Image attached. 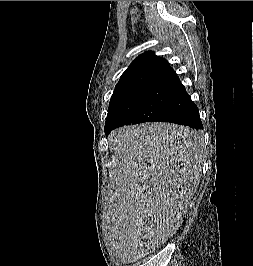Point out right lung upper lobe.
<instances>
[{
	"instance_id": "cb5924a9",
	"label": "right lung upper lobe",
	"mask_w": 253,
	"mask_h": 266,
	"mask_svg": "<svg viewBox=\"0 0 253 266\" xmlns=\"http://www.w3.org/2000/svg\"><path fill=\"white\" fill-rule=\"evenodd\" d=\"M178 82L179 78L167 60L148 51L138 56L122 74L111 100L153 86H175Z\"/></svg>"
}]
</instances>
